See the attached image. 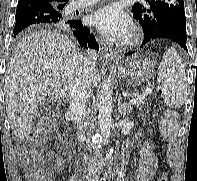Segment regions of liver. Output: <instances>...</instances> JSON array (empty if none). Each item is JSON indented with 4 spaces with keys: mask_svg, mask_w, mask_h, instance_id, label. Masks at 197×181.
Returning <instances> with one entry per match:
<instances>
[{
    "mask_svg": "<svg viewBox=\"0 0 197 181\" xmlns=\"http://www.w3.org/2000/svg\"><path fill=\"white\" fill-rule=\"evenodd\" d=\"M83 56L65 35L39 30L26 35L16 46L5 76V104L11 129L21 141L32 131L33 115L44 97L65 99ZM98 73L92 72L91 86Z\"/></svg>",
    "mask_w": 197,
    "mask_h": 181,
    "instance_id": "liver-1",
    "label": "liver"
}]
</instances>
